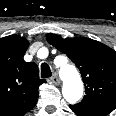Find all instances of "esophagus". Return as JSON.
Here are the masks:
<instances>
[{"label": "esophagus", "mask_w": 116, "mask_h": 116, "mask_svg": "<svg viewBox=\"0 0 116 116\" xmlns=\"http://www.w3.org/2000/svg\"><path fill=\"white\" fill-rule=\"evenodd\" d=\"M50 82L59 85L61 83L60 78L57 75H54L50 78Z\"/></svg>", "instance_id": "obj_1"}]
</instances>
